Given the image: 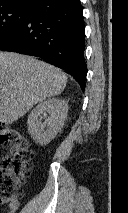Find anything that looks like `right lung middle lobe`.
<instances>
[{"mask_svg":"<svg viewBox=\"0 0 128 213\" xmlns=\"http://www.w3.org/2000/svg\"><path fill=\"white\" fill-rule=\"evenodd\" d=\"M30 9V7L16 5L0 7V41L23 24Z\"/></svg>","mask_w":128,"mask_h":213,"instance_id":"right-lung-middle-lobe-1","label":"right lung middle lobe"}]
</instances>
